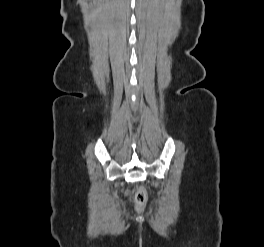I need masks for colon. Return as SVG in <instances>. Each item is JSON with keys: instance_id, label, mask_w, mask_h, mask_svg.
<instances>
[{"instance_id": "5ec220e1", "label": "colon", "mask_w": 264, "mask_h": 247, "mask_svg": "<svg viewBox=\"0 0 264 247\" xmlns=\"http://www.w3.org/2000/svg\"><path fill=\"white\" fill-rule=\"evenodd\" d=\"M148 201V194L144 188H140L135 194V203L138 208L142 209L145 207Z\"/></svg>"}]
</instances>
